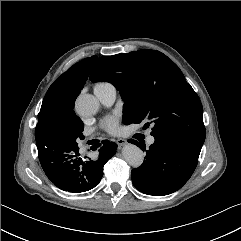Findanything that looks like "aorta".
Here are the masks:
<instances>
[{
  "label": "aorta",
  "instance_id": "obj_1",
  "mask_svg": "<svg viewBox=\"0 0 241 241\" xmlns=\"http://www.w3.org/2000/svg\"><path fill=\"white\" fill-rule=\"evenodd\" d=\"M99 106L98 99L91 94H80L75 101V110L83 117L95 115ZM122 154L126 162L135 168L140 167L144 161L143 151L133 144L125 145Z\"/></svg>",
  "mask_w": 241,
  "mask_h": 241
}]
</instances>
